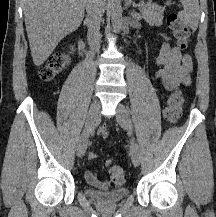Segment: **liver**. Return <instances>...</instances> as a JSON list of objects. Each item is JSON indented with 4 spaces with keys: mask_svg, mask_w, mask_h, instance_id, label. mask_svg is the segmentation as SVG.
Returning <instances> with one entry per match:
<instances>
[{
    "mask_svg": "<svg viewBox=\"0 0 216 217\" xmlns=\"http://www.w3.org/2000/svg\"><path fill=\"white\" fill-rule=\"evenodd\" d=\"M86 0H23L33 62L42 65L58 43L75 31L84 17Z\"/></svg>",
    "mask_w": 216,
    "mask_h": 217,
    "instance_id": "6515ba94",
    "label": "liver"
}]
</instances>
